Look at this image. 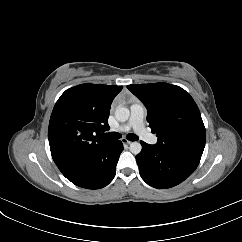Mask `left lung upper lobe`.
Returning <instances> with one entry per match:
<instances>
[{
	"label": "left lung upper lobe",
	"instance_id": "obj_1",
	"mask_svg": "<svg viewBox=\"0 0 242 242\" xmlns=\"http://www.w3.org/2000/svg\"><path fill=\"white\" fill-rule=\"evenodd\" d=\"M127 88L146 106L147 121L162 150L201 159L206 131L191 95L168 83L132 84Z\"/></svg>",
	"mask_w": 242,
	"mask_h": 242
}]
</instances>
